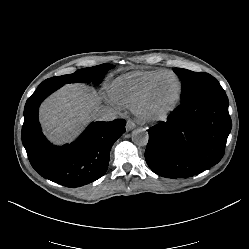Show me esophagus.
Masks as SVG:
<instances>
[{"instance_id":"1","label":"esophagus","mask_w":249,"mask_h":249,"mask_svg":"<svg viewBox=\"0 0 249 249\" xmlns=\"http://www.w3.org/2000/svg\"><path fill=\"white\" fill-rule=\"evenodd\" d=\"M134 128H136L135 123L132 120H127V122H126V129H127V131H131Z\"/></svg>"}]
</instances>
